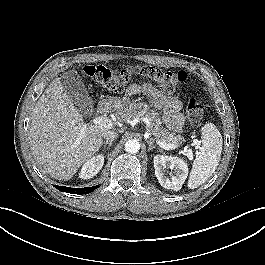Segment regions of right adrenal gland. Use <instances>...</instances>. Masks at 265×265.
I'll return each mask as SVG.
<instances>
[{"instance_id":"obj_1","label":"right adrenal gland","mask_w":265,"mask_h":265,"mask_svg":"<svg viewBox=\"0 0 265 265\" xmlns=\"http://www.w3.org/2000/svg\"><path fill=\"white\" fill-rule=\"evenodd\" d=\"M112 142H113V140H106V142H104V148L108 145V148H110L111 147V145H112Z\"/></svg>"}]
</instances>
